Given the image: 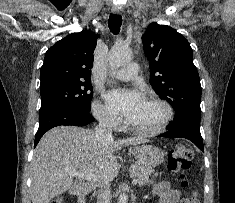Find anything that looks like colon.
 <instances>
[{
	"label": "colon",
	"mask_w": 235,
	"mask_h": 203,
	"mask_svg": "<svg viewBox=\"0 0 235 203\" xmlns=\"http://www.w3.org/2000/svg\"><path fill=\"white\" fill-rule=\"evenodd\" d=\"M194 158V152L192 149L185 146H177L172 149L167 158V166L171 173L177 174L184 187L188 186L187 172L191 167L192 160ZM183 203H199L197 194L195 192H189L182 200ZM50 203H62V198H56Z\"/></svg>",
	"instance_id": "colon-1"
}]
</instances>
